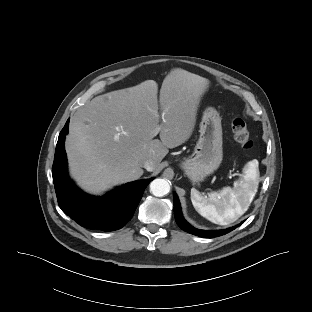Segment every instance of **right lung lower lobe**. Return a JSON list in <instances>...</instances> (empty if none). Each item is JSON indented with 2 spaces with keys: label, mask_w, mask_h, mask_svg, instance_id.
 <instances>
[{
  "label": "right lung lower lobe",
  "mask_w": 312,
  "mask_h": 312,
  "mask_svg": "<svg viewBox=\"0 0 312 312\" xmlns=\"http://www.w3.org/2000/svg\"><path fill=\"white\" fill-rule=\"evenodd\" d=\"M69 119L59 134L52 168L59 207L71 219L88 229L114 231L133 216L143 192L152 179L137 180L117 187L104 197L83 193L70 180L64 147Z\"/></svg>",
  "instance_id": "98d812e1"
}]
</instances>
